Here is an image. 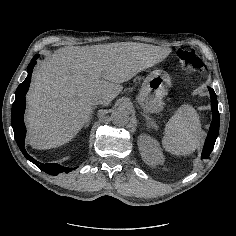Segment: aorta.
<instances>
[{
    "label": "aorta",
    "mask_w": 236,
    "mask_h": 236,
    "mask_svg": "<svg viewBox=\"0 0 236 236\" xmlns=\"http://www.w3.org/2000/svg\"><path fill=\"white\" fill-rule=\"evenodd\" d=\"M111 119L114 125L121 127L128 124L130 117L126 109L117 108L112 112Z\"/></svg>",
    "instance_id": "1"
}]
</instances>
